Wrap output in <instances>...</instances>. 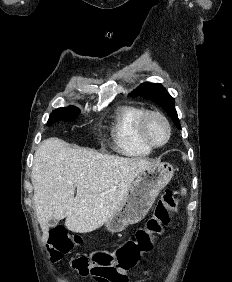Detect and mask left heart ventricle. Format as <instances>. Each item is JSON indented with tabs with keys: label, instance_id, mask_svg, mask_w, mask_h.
Returning <instances> with one entry per match:
<instances>
[{
	"label": "left heart ventricle",
	"instance_id": "left-heart-ventricle-1",
	"mask_svg": "<svg viewBox=\"0 0 232 282\" xmlns=\"http://www.w3.org/2000/svg\"><path fill=\"white\" fill-rule=\"evenodd\" d=\"M147 135L155 143H161L167 136V130L163 122L157 118H151L147 123Z\"/></svg>",
	"mask_w": 232,
	"mask_h": 282
}]
</instances>
